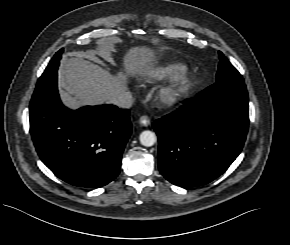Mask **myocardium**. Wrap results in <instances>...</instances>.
<instances>
[{
    "label": "myocardium",
    "mask_w": 290,
    "mask_h": 245,
    "mask_svg": "<svg viewBox=\"0 0 290 245\" xmlns=\"http://www.w3.org/2000/svg\"><path fill=\"white\" fill-rule=\"evenodd\" d=\"M193 87V78L186 73L172 79L157 92V100L164 107H172L182 101Z\"/></svg>",
    "instance_id": "obj_1"
}]
</instances>
